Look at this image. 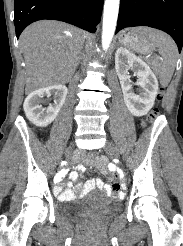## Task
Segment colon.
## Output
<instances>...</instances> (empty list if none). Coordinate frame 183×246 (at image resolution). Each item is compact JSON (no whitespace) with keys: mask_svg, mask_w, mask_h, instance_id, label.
Here are the masks:
<instances>
[{"mask_svg":"<svg viewBox=\"0 0 183 246\" xmlns=\"http://www.w3.org/2000/svg\"><path fill=\"white\" fill-rule=\"evenodd\" d=\"M163 93H164V91H163V89H161L159 94H158L159 99H162ZM157 115H158V110L154 109L149 115V120H154L157 117ZM87 156L92 159L93 157H97L98 153L94 152L93 149H90L89 152L87 153Z\"/></svg>","mask_w":183,"mask_h":246,"instance_id":"colon-1","label":"colon"}]
</instances>
